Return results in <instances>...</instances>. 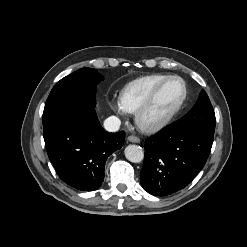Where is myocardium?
<instances>
[{
	"label": "myocardium",
	"mask_w": 247,
	"mask_h": 247,
	"mask_svg": "<svg viewBox=\"0 0 247 247\" xmlns=\"http://www.w3.org/2000/svg\"><path fill=\"white\" fill-rule=\"evenodd\" d=\"M171 80H179L180 82H182L183 87H184V93H183L181 100L176 105V107L164 117L156 119V120H147L146 114L151 108V106L153 105L157 95L159 94L161 89ZM187 97H188V86H187L186 81L182 77L177 76V75L168 76L152 90L149 96L137 109V111L135 112L136 124L142 131L148 132V133L157 132L165 128L179 114V112L181 111L182 107L184 106L187 100Z\"/></svg>",
	"instance_id": "f54148a6"
}]
</instances>
